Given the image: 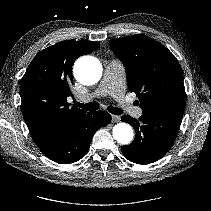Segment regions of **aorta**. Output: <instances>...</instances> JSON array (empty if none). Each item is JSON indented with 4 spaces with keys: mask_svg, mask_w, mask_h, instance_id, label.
I'll return each instance as SVG.
<instances>
[{
    "mask_svg": "<svg viewBox=\"0 0 211 211\" xmlns=\"http://www.w3.org/2000/svg\"><path fill=\"white\" fill-rule=\"evenodd\" d=\"M101 75L102 66L94 57L83 56L74 65V76L83 85L96 84ZM133 136L132 127L127 123H118L113 127V138L120 144H129Z\"/></svg>",
    "mask_w": 211,
    "mask_h": 211,
    "instance_id": "762f6f07",
    "label": "aorta"
}]
</instances>
